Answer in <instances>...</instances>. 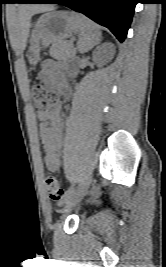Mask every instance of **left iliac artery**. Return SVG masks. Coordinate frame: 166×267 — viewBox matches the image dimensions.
Instances as JSON below:
<instances>
[{"label": "left iliac artery", "mask_w": 166, "mask_h": 267, "mask_svg": "<svg viewBox=\"0 0 166 267\" xmlns=\"http://www.w3.org/2000/svg\"><path fill=\"white\" fill-rule=\"evenodd\" d=\"M73 190H74V186L72 185L65 191L64 196H63V201L67 200V198L73 192Z\"/></svg>", "instance_id": "obj_1"}]
</instances>
